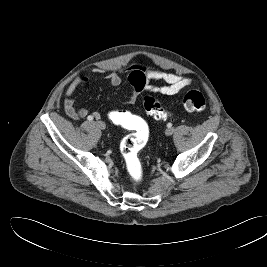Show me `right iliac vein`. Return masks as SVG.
<instances>
[{
  "label": "right iliac vein",
  "mask_w": 267,
  "mask_h": 267,
  "mask_svg": "<svg viewBox=\"0 0 267 267\" xmlns=\"http://www.w3.org/2000/svg\"><path fill=\"white\" fill-rule=\"evenodd\" d=\"M96 125L102 130H104L106 128V125L103 121H97Z\"/></svg>",
  "instance_id": "obj_1"
}]
</instances>
